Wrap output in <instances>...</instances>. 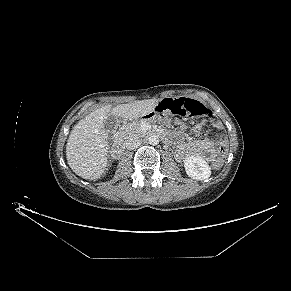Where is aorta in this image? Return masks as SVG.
<instances>
[{
	"label": "aorta",
	"instance_id": "aorta-1",
	"mask_svg": "<svg viewBox=\"0 0 291 291\" xmlns=\"http://www.w3.org/2000/svg\"><path fill=\"white\" fill-rule=\"evenodd\" d=\"M148 142L150 145H157L159 143V137L157 135H151L149 138H148Z\"/></svg>",
	"mask_w": 291,
	"mask_h": 291
}]
</instances>
